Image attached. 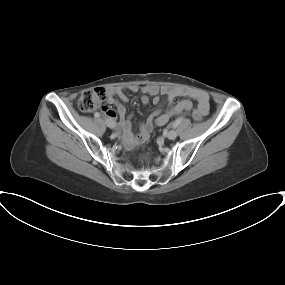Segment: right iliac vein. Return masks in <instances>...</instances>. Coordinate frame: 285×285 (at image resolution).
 Instances as JSON below:
<instances>
[{
    "mask_svg": "<svg viewBox=\"0 0 285 285\" xmlns=\"http://www.w3.org/2000/svg\"><path fill=\"white\" fill-rule=\"evenodd\" d=\"M106 124L111 129L115 128V126H116L115 122L113 120H111V119H107L106 120Z\"/></svg>",
    "mask_w": 285,
    "mask_h": 285,
    "instance_id": "obj_1",
    "label": "right iliac vein"
}]
</instances>
